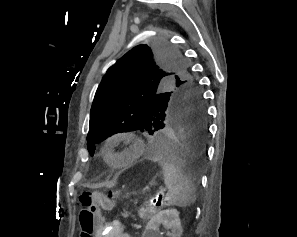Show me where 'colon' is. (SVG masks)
Masks as SVG:
<instances>
[{
    "instance_id": "1",
    "label": "colon",
    "mask_w": 297,
    "mask_h": 237,
    "mask_svg": "<svg viewBox=\"0 0 297 237\" xmlns=\"http://www.w3.org/2000/svg\"><path fill=\"white\" fill-rule=\"evenodd\" d=\"M114 199V192L103 194L100 192L84 191L80 195V237H95L100 222V211L111 210L114 207Z\"/></svg>"
}]
</instances>
